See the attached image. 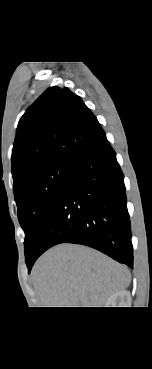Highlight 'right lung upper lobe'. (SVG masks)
Instances as JSON below:
<instances>
[{"label": "right lung upper lobe", "mask_w": 152, "mask_h": 369, "mask_svg": "<svg viewBox=\"0 0 152 369\" xmlns=\"http://www.w3.org/2000/svg\"><path fill=\"white\" fill-rule=\"evenodd\" d=\"M103 134L79 96L68 88L47 89L19 121L11 157L13 189L33 171L72 162Z\"/></svg>", "instance_id": "cb5924a9"}]
</instances>
